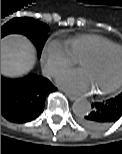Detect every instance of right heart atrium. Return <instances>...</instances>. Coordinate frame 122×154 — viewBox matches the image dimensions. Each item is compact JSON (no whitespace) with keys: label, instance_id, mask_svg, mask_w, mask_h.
Here are the masks:
<instances>
[{"label":"right heart atrium","instance_id":"obj_1","mask_svg":"<svg viewBox=\"0 0 122 154\" xmlns=\"http://www.w3.org/2000/svg\"><path fill=\"white\" fill-rule=\"evenodd\" d=\"M42 62L45 73L54 76L75 64L66 43L60 39L49 40L42 51Z\"/></svg>","mask_w":122,"mask_h":154}]
</instances>
